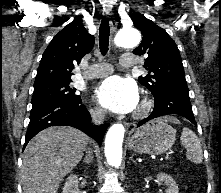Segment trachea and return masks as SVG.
<instances>
[{"label": "trachea", "instance_id": "trachea-1", "mask_svg": "<svg viewBox=\"0 0 221 193\" xmlns=\"http://www.w3.org/2000/svg\"><path fill=\"white\" fill-rule=\"evenodd\" d=\"M109 35H110L109 19L103 18L99 28V46L102 55H105L108 51Z\"/></svg>", "mask_w": 221, "mask_h": 193}]
</instances>
